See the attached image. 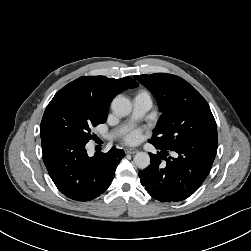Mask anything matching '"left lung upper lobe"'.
Segmentation results:
<instances>
[{
	"label": "left lung upper lobe",
	"instance_id": "1",
	"mask_svg": "<svg viewBox=\"0 0 251 251\" xmlns=\"http://www.w3.org/2000/svg\"><path fill=\"white\" fill-rule=\"evenodd\" d=\"M135 79L150 90L162 112L151 143L167 150L183 144L218 143L210 107L187 81L166 73L136 75Z\"/></svg>",
	"mask_w": 251,
	"mask_h": 251
}]
</instances>
